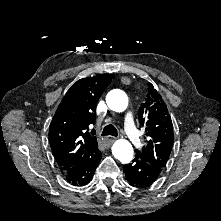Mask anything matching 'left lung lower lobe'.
<instances>
[{
	"label": "left lung lower lobe",
	"instance_id": "obj_1",
	"mask_svg": "<svg viewBox=\"0 0 221 221\" xmlns=\"http://www.w3.org/2000/svg\"><path fill=\"white\" fill-rule=\"evenodd\" d=\"M123 171L126 180L135 187H145L154 183L160 176L161 171L152 167L145 160L135 156L132 163L124 165Z\"/></svg>",
	"mask_w": 221,
	"mask_h": 221
}]
</instances>
